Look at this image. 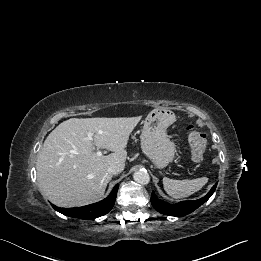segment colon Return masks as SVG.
I'll return each mask as SVG.
<instances>
[{
    "instance_id": "1",
    "label": "colon",
    "mask_w": 261,
    "mask_h": 261,
    "mask_svg": "<svg viewBox=\"0 0 261 261\" xmlns=\"http://www.w3.org/2000/svg\"><path fill=\"white\" fill-rule=\"evenodd\" d=\"M188 131V142L191 150V159L199 163L204 159L206 151V137L203 133L198 131L194 126H189Z\"/></svg>"
}]
</instances>
